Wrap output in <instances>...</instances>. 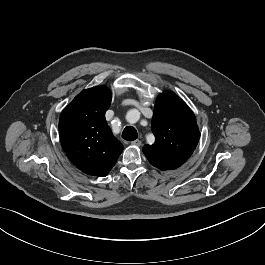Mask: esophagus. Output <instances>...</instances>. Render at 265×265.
I'll use <instances>...</instances> for the list:
<instances>
[{
  "instance_id": "34e87169",
  "label": "esophagus",
  "mask_w": 265,
  "mask_h": 265,
  "mask_svg": "<svg viewBox=\"0 0 265 265\" xmlns=\"http://www.w3.org/2000/svg\"><path fill=\"white\" fill-rule=\"evenodd\" d=\"M132 145L134 146H141V141L140 140H134L133 142H131Z\"/></svg>"
}]
</instances>
